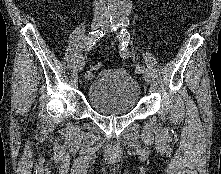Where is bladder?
Returning <instances> with one entry per match:
<instances>
[{"mask_svg":"<svg viewBox=\"0 0 221 174\" xmlns=\"http://www.w3.org/2000/svg\"><path fill=\"white\" fill-rule=\"evenodd\" d=\"M141 88L137 80L125 69L101 70L87 87V101L98 113L122 115L132 112L138 105Z\"/></svg>","mask_w":221,"mask_h":174,"instance_id":"1","label":"bladder"}]
</instances>
